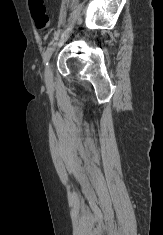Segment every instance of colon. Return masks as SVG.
<instances>
[{
  "label": "colon",
  "mask_w": 163,
  "mask_h": 235,
  "mask_svg": "<svg viewBox=\"0 0 163 235\" xmlns=\"http://www.w3.org/2000/svg\"><path fill=\"white\" fill-rule=\"evenodd\" d=\"M29 9L38 29L45 30L50 26L51 21L46 12L44 0H29Z\"/></svg>",
  "instance_id": "5ec220e1"
}]
</instances>
